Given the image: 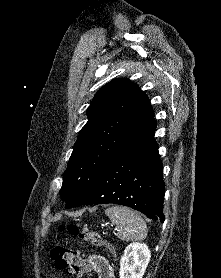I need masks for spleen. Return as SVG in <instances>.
Instances as JSON below:
<instances>
[{
  "instance_id": "3e777b00",
  "label": "spleen",
  "mask_w": 221,
  "mask_h": 278,
  "mask_svg": "<svg viewBox=\"0 0 221 278\" xmlns=\"http://www.w3.org/2000/svg\"><path fill=\"white\" fill-rule=\"evenodd\" d=\"M105 214L117 226V237L122 241L143 240L147 236L145 221L129 208L112 206Z\"/></svg>"
}]
</instances>
